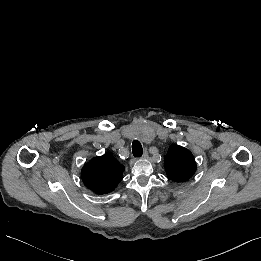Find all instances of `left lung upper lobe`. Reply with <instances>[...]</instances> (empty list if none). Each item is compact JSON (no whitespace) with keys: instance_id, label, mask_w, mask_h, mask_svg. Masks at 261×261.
<instances>
[{"instance_id":"5c2ea615","label":"left lung upper lobe","mask_w":261,"mask_h":261,"mask_svg":"<svg viewBox=\"0 0 261 261\" xmlns=\"http://www.w3.org/2000/svg\"><path fill=\"white\" fill-rule=\"evenodd\" d=\"M169 179L184 182L190 179L196 171V163L192 153L181 146L171 145L164 161Z\"/></svg>"}]
</instances>
